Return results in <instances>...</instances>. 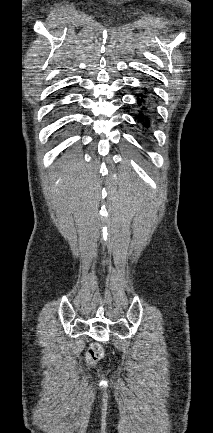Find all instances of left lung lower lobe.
Returning a JSON list of instances; mask_svg holds the SVG:
<instances>
[{
	"label": "left lung lower lobe",
	"instance_id": "left-lung-lower-lobe-1",
	"mask_svg": "<svg viewBox=\"0 0 213 433\" xmlns=\"http://www.w3.org/2000/svg\"><path fill=\"white\" fill-rule=\"evenodd\" d=\"M137 101H138L139 106H141V103L144 102V100L142 98L141 99L137 98ZM141 109L147 111V109L145 107H142ZM136 118H137L139 123H142L143 126H145L147 128L149 127L150 121H149V117L147 114L140 113Z\"/></svg>",
	"mask_w": 213,
	"mask_h": 433
}]
</instances>
